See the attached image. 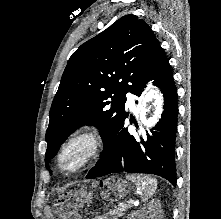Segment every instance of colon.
<instances>
[{
    "label": "colon",
    "mask_w": 221,
    "mask_h": 219,
    "mask_svg": "<svg viewBox=\"0 0 221 219\" xmlns=\"http://www.w3.org/2000/svg\"><path fill=\"white\" fill-rule=\"evenodd\" d=\"M76 203H71L69 200L63 201V206L60 210L63 212L66 219H79L76 211Z\"/></svg>",
    "instance_id": "5ec220e1"
}]
</instances>
